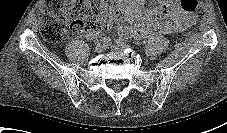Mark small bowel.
<instances>
[{
  "mask_svg": "<svg viewBox=\"0 0 227 133\" xmlns=\"http://www.w3.org/2000/svg\"><path fill=\"white\" fill-rule=\"evenodd\" d=\"M160 7L145 11L144 0H122L116 16L126 24L118 26V32L125 37L138 41L156 34H172L184 31L194 23V17L185 14L176 0H158ZM157 19H165L161 24ZM101 30H90L85 33L87 39H96Z\"/></svg>",
  "mask_w": 227,
  "mask_h": 133,
  "instance_id": "1",
  "label": "small bowel"
}]
</instances>
